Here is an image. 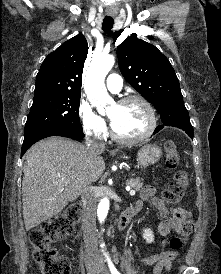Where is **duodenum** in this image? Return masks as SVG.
I'll return each mask as SVG.
<instances>
[{
	"mask_svg": "<svg viewBox=\"0 0 221 274\" xmlns=\"http://www.w3.org/2000/svg\"><path fill=\"white\" fill-rule=\"evenodd\" d=\"M137 210L135 207H129L125 209L118 218V228L120 230L125 229L130 223L132 217L136 214Z\"/></svg>",
	"mask_w": 221,
	"mask_h": 274,
	"instance_id": "obj_1",
	"label": "duodenum"
}]
</instances>
